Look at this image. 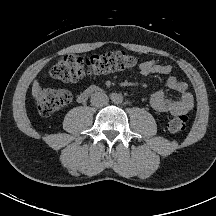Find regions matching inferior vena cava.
I'll list each match as a JSON object with an SVG mask.
<instances>
[{"mask_svg":"<svg viewBox=\"0 0 216 216\" xmlns=\"http://www.w3.org/2000/svg\"><path fill=\"white\" fill-rule=\"evenodd\" d=\"M108 101L109 98L105 93L96 92L91 95V104L97 108L106 106Z\"/></svg>","mask_w":216,"mask_h":216,"instance_id":"1","label":"inferior vena cava"}]
</instances>
